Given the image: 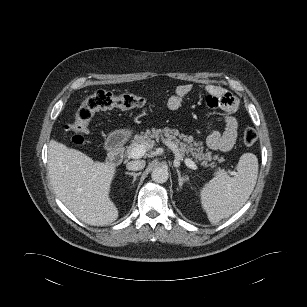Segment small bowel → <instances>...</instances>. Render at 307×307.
Listing matches in <instances>:
<instances>
[{
  "label": "small bowel",
  "mask_w": 307,
  "mask_h": 307,
  "mask_svg": "<svg viewBox=\"0 0 307 307\" xmlns=\"http://www.w3.org/2000/svg\"><path fill=\"white\" fill-rule=\"evenodd\" d=\"M191 84L178 85L174 93L167 100V108L171 111L178 110L183 100L192 92ZM207 93L206 102L210 107H222L230 112L235 109V98L224 91L223 88L215 85L205 87ZM238 133L237 119L228 114L224 119V129L214 130L207 138V146L214 151L227 152L231 150L236 142Z\"/></svg>",
  "instance_id": "1"
}]
</instances>
